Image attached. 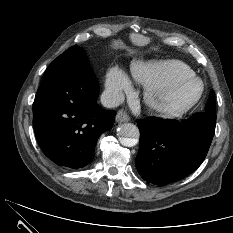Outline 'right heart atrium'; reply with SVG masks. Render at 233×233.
<instances>
[{
    "mask_svg": "<svg viewBox=\"0 0 233 233\" xmlns=\"http://www.w3.org/2000/svg\"><path fill=\"white\" fill-rule=\"evenodd\" d=\"M105 90L108 98L112 102H117L124 93L132 90V86L126 74L121 69L114 67L106 75Z\"/></svg>",
    "mask_w": 233,
    "mask_h": 233,
    "instance_id": "obj_1",
    "label": "right heart atrium"
}]
</instances>
